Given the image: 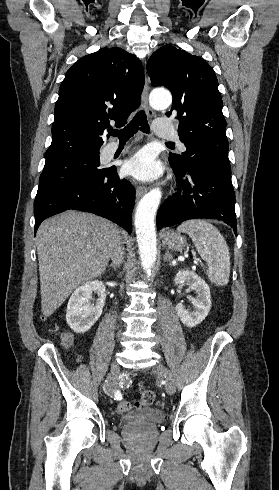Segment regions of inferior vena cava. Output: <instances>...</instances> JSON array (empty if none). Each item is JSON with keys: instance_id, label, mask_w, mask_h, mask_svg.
Returning <instances> with one entry per match:
<instances>
[{"instance_id": "602c4592", "label": "inferior vena cava", "mask_w": 279, "mask_h": 490, "mask_svg": "<svg viewBox=\"0 0 279 490\" xmlns=\"http://www.w3.org/2000/svg\"><path fill=\"white\" fill-rule=\"evenodd\" d=\"M125 252L122 246L121 238H117L113 244L112 252L110 258L114 266H120L124 260Z\"/></svg>"}]
</instances>
